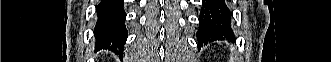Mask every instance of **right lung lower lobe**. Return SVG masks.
Returning a JSON list of instances; mask_svg holds the SVG:
<instances>
[{
  "mask_svg": "<svg viewBox=\"0 0 331 62\" xmlns=\"http://www.w3.org/2000/svg\"><path fill=\"white\" fill-rule=\"evenodd\" d=\"M124 0H101L97 6L96 48L121 53L127 38Z\"/></svg>",
  "mask_w": 331,
  "mask_h": 62,
  "instance_id": "98d812e1",
  "label": "right lung lower lobe"
}]
</instances>
